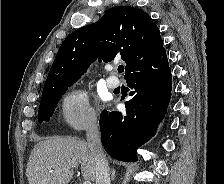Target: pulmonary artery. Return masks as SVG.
I'll use <instances>...</instances> for the list:
<instances>
[{
	"instance_id": "e3ab8cb5",
	"label": "pulmonary artery",
	"mask_w": 224,
	"mask_h": 184,
	"mask_svg": "<svg viewBox=\"0 0 224 184\" xmlns=\"http://www.w3.org/2000/svg\"><path fill=\"white\" fill-rule=\"evenodd\" d=\"M106 84L107 86L110 88V89H114V88H117L120 84V81L117 77L115 76H109L107 79H106Z\"/></svg>"
}]
</instances>
